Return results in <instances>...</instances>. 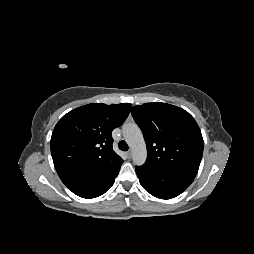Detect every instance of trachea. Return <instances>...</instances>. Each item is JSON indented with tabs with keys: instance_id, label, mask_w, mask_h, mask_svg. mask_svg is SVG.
Wrapping results in <instances>:
<instances>
[{
	"instance_id": "trachea-1",
	"label": "trachea",
	"mask_w": 254,
	"mask_h": 254,
	"mask_svg": "<svg viewBox=\"0 0 254 254\" xmlns=\"http://www.w3.org/2000/svg\"><path fill=\"white\" fill-rule=\"evenodd\" d=\"M119 149L122 150V151H127L128 150V145L125 141H120L119 142Z\"/></svg>"
}]
</instances>
